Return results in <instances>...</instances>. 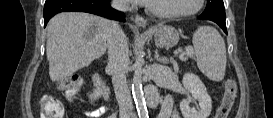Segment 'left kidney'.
Wrapping results in <instances>:
<instances>
[{"instance_id": "5707ae66", "label": "left kidney", "mask_w": 273, "mask_h": 118, "mask_svg": "<svg viewBox=\"0 0 273 118\" xmlns=\"http://www.w3.org/2000/svg\"><path fill=\"white\" fill-rule=\"evenodd\" d=\"M184 88L191 93L192 100L198 101L199 110L189 106L191 100L184 99L180 102V110L184 118H208L212 110L211 97L200 78L192 73H187L182 80Z\"/></svg>"}]
</instances>
